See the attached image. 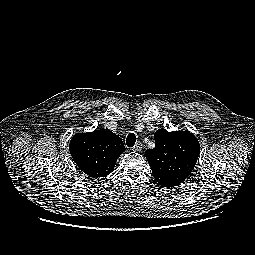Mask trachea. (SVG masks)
Segmentation results:
<instances>
[{
    "label": "trachea",
    "mask_w": 255,
    "mask_h": 255,
    "mask_svg": "<svg viewBox=\"0 0 255 255\" xmlns=\"http://www.w3.org/2000/svg\"><path fill=\"white\" fill-rule=\"evenodd\" d=\"M136 142V136L134 133H130L127 138H126V144L128 147H133L135 145Z\"/></svg>",
    "instance_id": "1"
}]
</instances>
